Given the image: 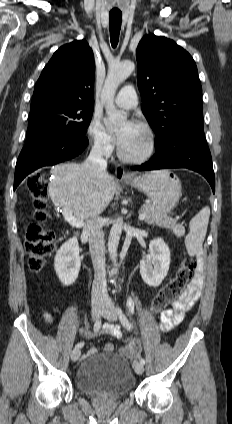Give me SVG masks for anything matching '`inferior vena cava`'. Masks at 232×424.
Here are the masks:
<instances>
[{"mask_svg":"<svg viewBox=\"0 0 232 424\" xmlns=\"http://www.w3.org/2000/svg\"><path fill=\"white\" fill-rule=\"evenodd\" d=\"M103 148L95 143L85 162L97 177H105L107 174V161L102 157ZM83 234L89 239V248L94 267V281L92 285V303H103L108 299L106 270H105V242L102 231V219L93 216L87 220Z\"/></svg>","mask_w":232,"mask_h":424,"instance_id":"602c4592","label":"inferior vena cava"}]
</instances>
